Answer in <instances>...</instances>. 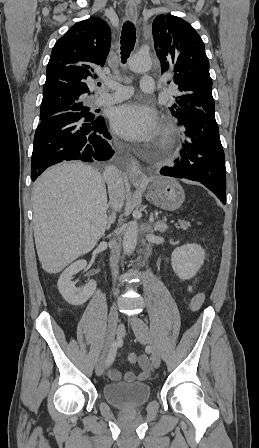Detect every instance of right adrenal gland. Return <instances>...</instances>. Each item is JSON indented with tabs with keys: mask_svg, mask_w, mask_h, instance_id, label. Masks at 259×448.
I'll return each mask as SVG.
<instances>
[{
	"mask_svg": "<svg viewBox=\"0 0 259 448\" xmlns=\"http://www.w3.org/2000/svg\"><path fill=\"white\" fill-rule=\"evenodd\" d=\"M114 220H115V214H112V216H109V218H107V226L105 230H110L111 224H113Z\"/></svg>",
	"mask_w": 259,
	"mask_h": 448,
	"instance_id": "2a0ac1e0",
	"label": "right adrenal gland"
}]
</instances>
